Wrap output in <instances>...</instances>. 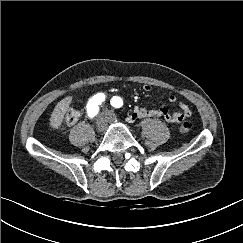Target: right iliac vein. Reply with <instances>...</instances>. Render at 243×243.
Instances as JSON below:
<instances>
[{
    "label": "right iliac vein",
    "mask_w": 243,
    "mask_h": 243,
    "mask_svg": "<svg viewBox=\"0 0 243 243\" xmlns=\"http://www.w3.org/2000/svg\"><path fill=\"white\" fill-rule=\"evenodd\" d=\"M107 127V118L104 114L100 115L96 120V128L98 132L105 131Z\"/></svg>",
    "instance_id": "right-iliac-vein-1"
}]
</instances>
